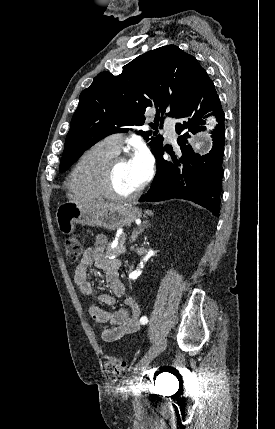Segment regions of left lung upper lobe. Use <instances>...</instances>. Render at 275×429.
Returning a JSON list of instances; mask_svg holds the SVG:
<instances>
[{
  "instance_id": "left-lung-upper-lobe-1",
  "label": "left lung upper lobe",
  "mask_w": 275,
  "mask_h": 429,
  "mask_svg": "<svg viewBox=\"0 0 275 429\" xmlns=\"http://www.w3.org/2000/svg\"><path fill=\"white\" fill-rule=\"evenodd\" d=\"M202 70L195 57L175 45H167L138 56L123 66L118 76L99 73L80 94L60 171H66L86 149L104 137L143 125L148 107L155 106L158 111L150 126L161 129L163 117L159 118V114L169 108L167 115L176 118L192 98ZM157 133L137 132L150 141L154 155L163 148L164 139Z\"/></svg>"
}]
</instances>
